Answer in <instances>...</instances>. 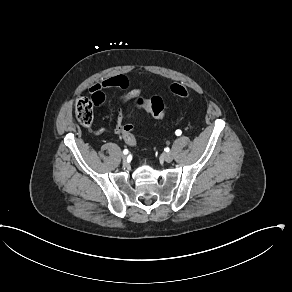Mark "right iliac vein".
<instances>
[{"instance_id": "1", "label": "right iliac vein", "mask_w": 292, "mask_h": 292, "mask_svg": "<svg viewBox=\"0 0 292 292\" xmlns=\"http://www.w3.org/2000/svg\"><path fill=\"white\" fill-rule=\"evenodd\" d=\"M122 159L125 161L127 159V156L125 154H123Z\"/></svg>"}]
</instances>
